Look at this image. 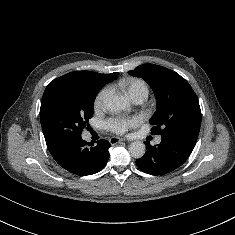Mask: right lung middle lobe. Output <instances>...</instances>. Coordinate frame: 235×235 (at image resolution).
Returning a JSON list of instances; mask_svg holds the SVG:
<instances>
[{"label": "right lung middle lobe", "mask_w": 235, "mask_h": 235, "mask_svg": "<svg viewBox=\"0 0 235 235\" xmlns=\"http://www.w3.org/2000/svg\"><path fill=\"white\" fill-rule=\"evenodd\" d=\"M100 89L87 81L58 82L46 87L40 120L49 150L81 136L93 116L94 99Z\"/></svg>", "instance_id": "right-lung-middle-lobe-1"}]
</instances>
